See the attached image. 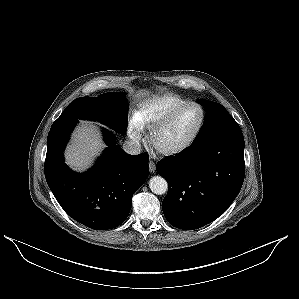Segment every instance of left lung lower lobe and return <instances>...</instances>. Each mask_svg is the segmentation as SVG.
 Listing matches in <instances>:
<instances>
[{
  "instance_id": "0a47b994",
  "label": "left lung lower lobe",
  "mask_w": 299,
  "mask_h": 299,
  "mask_svg": "<svg viewBox=\"0 0 299 299\" xmlns=\"http://www.w3.org/2000/svg\"><path fill=\"white\" fill-rule=\"evenodd\" d=\"M169 184L162 202L176 228L194 230L222 215L238 195L245 175L244 139L230 117L192 145L156 166Z\"/></svg>"
}]
</instances>
